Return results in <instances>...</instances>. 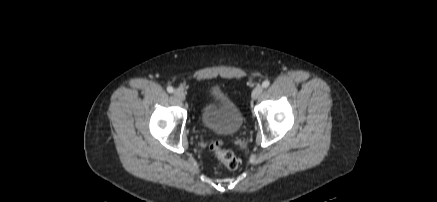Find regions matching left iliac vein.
<instances>
[{"label":"left iliac vein","instance_id":"obj_1","mask_svg":"<svg viewBox=\"0 0 437 202\" xmlns=\"http://www.w3.org/2000/svg\"><path fill=\"white\" fill-rule=\"evenodd\" d=\"M262 92H263V87L261 85H257L252 91V94H251L252 99L255 100V99L259 98V96L262 94Z\"/></svg>","mask_w":437,"mask_h":202}]
</instances>
